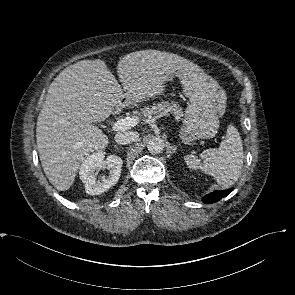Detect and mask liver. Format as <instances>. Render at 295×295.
Here are the masks:
<instances>
[{"instance_id": "obj_1", "label": "liver", "mask_w": 295, "mask_h": 295, "mask_svg": "<svg viewBox=\"0 0 295 295\" xmlns=\"http://www.w3.org/2000/svg\"><path fill=\"white\" fill-rule=\"evenodd\" d=\"M202 71L173 53L141 50L118 63L121 85L100 59L66 67L50 84L37 118L36 141L41 165L59 191L74 183L80 164L108 145V137L93 123L104 121L120 105L136 106L160 95L172 74Z\"/></svg>"}]
</instances>
